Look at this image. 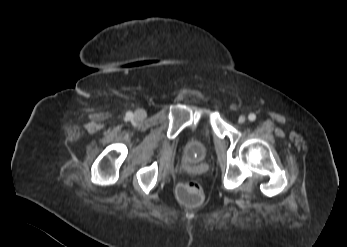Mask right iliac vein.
Masks as SVG:
<instances>
[{
    "label": "right iliac vein",
    "instance_id": "63e3f726",
    "mask_svg": "<svg viewBox=\"0 0 347 247\" xmlns=\"http://www.w3.org/2000/svg\"><path fill=\"white\" fill-rule=\"evenodd\" d=\"M145 117H146V112H145V110H143V109L137 110V111L135 112V114H134V118H135L136 120H142V119H144Z\"/></svg>",
    "mask_w": 347,
    "mask_h": 247
}]
</instances>
